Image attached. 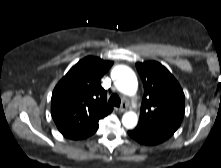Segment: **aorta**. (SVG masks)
<instances>
[{"mask_svg":"<svg viewBox=\"0 0 221 168\" xmlns=\"http://www.w3.org/2000/svg\"><path fill=\"white\" fill-rule=\"evenodd\" d=\"M116 88L122 93L134 96L138 89V80L132 69L125 65L116 66L111 73ZM138 116L135 112H126L122 117V124L127 129L136 127Z\"/></svg>","mask_w":221,"mask_h":168,"instance_id":"762f6f07","label":"aorta"}]
</instances>
